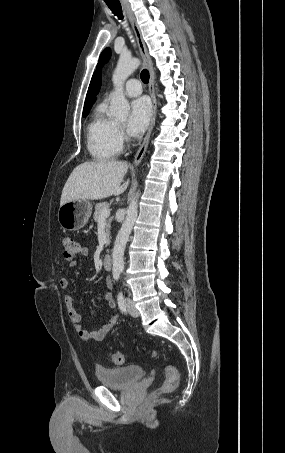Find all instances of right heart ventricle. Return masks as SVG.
<instances>
[{
    "instance_id": "1",
    "label": "right heart ventricle",
    "mask_w": 285,
    "mask_h": 453,
    "mask_svg": "<svg viewBox=\"0 0 285 453\" xmlns=\"http://www.w3.org/2000/svg\"><path fill=\"white\" fill-rule=\"evenodd\" d=\"M105 110L106 103H100L87 127V147L97 160L115 158L122 150L119 126L106 115Z\"/></svg>"
}]
</instances>
